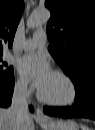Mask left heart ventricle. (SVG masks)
<instances>
[{"label":"left heart ventricle","instance_id":"b2bd125f","mask_svg":"<svg viewBox=\"0 0 95 130\" xmlns=\"http://www.w3.org/2000/svg\"><path fill=\"white\" fill-rule=\"evenodd\" d=\"M40 90L45 98L53 101H66L71 97V87L68 82L53 73Z\"/></svg>","mask_w":95,"mask_h":130}]
</instances>
